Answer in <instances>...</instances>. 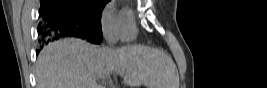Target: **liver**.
I'll use <instances>...</instances> for the list:
<instances>
[{
  "label": "liver",
  "instance_id": "liver-1",
  "mask_svg": "<svg viewBox=\"0 0 267 88\" xmlns=\"http://www.w3.org/2000/svg\"><path fill=\"white\" fill-rule=\"evenodd\" d=\"M113 71L124 74L127 86L179 88L175 63L166 53L141 45L98 48L76 38L45 46L36 63L37 88H104L97 78Z\"/></svg>",
  "mask_w": 267,
  "mask_h": 88
}]
</instances>
